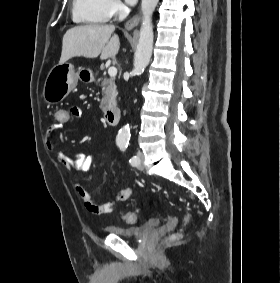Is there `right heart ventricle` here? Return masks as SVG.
<instances>
[{"label": "right heart ventricle", "instance_id": "obj_1", "mask_svg": "<svg viewBox=\"0 0 280 283\" xmlns=\"http://www.w3.org/2000/svg\"><path fill=\"white\" fill-rule=\"evenodd\" d=\"M72 18L82 24L105 23L109 19L105 0H73Z\"/></svg>", "mask_w": 280, "mask_h": 283}]
</instances>
